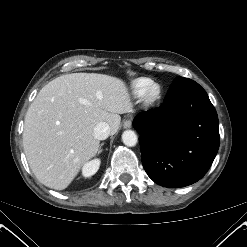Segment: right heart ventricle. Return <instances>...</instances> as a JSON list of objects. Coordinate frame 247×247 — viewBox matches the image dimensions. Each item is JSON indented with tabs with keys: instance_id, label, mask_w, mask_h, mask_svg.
Instances as JSON below:
<instances>
[{
	"instance_id": "1",
	"label": "right heart ventricle",
	"mask_w": 247,
	"mask_h": 247,
	"mask_svg": "<svg viewBox=\"0 0 247 247\" xmlns=\"http://www.w3.org/2000/svg\"><path fill=\"white\" fill-rule=\"evenodd\" d=\"M152 83L153 81L149 78L141 77L134 79L130 84L131 92L135 96H141L147 87Z\"/></svg>"
}]
</instances>
